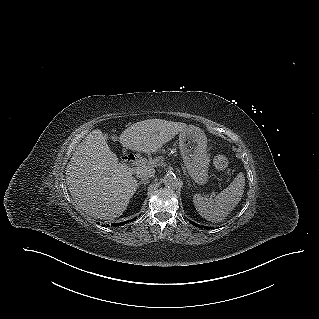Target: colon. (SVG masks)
<instances>
[{
    "mask_svg": "<svg viewBox=\"0 0 319 319\" xmlns=\"http://www.w3.org/2000/svg\"><path fill=\"white\" fill-rule=\"evenodd\" d=\"M119 130L117 128H107L105 130V133H104V136H105V139L108 141V142H115L117 140V138L119 137ZM214 165L217 167V168H224L226 166V159L219 155L217 156L215 159H214Z\"/></svg>",
    "mask_w": 319,
    "mask_h": 319,
    "instance_id": "1",
    "label": "colon"
}]
</instances>
